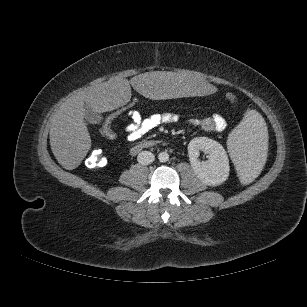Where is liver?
<instances>
[{
    "mask_svg": "<svg viewBox=\"0 0 307 307\" xmlns=\"http://www.w3.org/2000/svg\"><path fill=\"white\" fill-rule=\"evenodd\" d=\"M151 99L214 95L215 87L204 76L189 72L155 71L127 79L107 82L81 90L67 99L51 119V150L58 163L67 170L77 168L91 148V138L84 115L86 107L103 113L117 109L131 98V87ZM163 93V95H162Z\"/></svg>",
    "mask_w": 307,
    "mask_h": 307,
    "instance_id": "1",
    "label": "liver"
}]
</instances>
